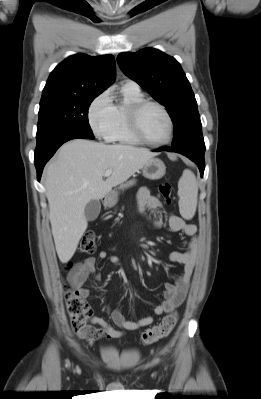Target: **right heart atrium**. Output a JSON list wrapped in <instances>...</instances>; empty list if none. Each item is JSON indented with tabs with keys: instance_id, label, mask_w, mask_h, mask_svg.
<instances>
[{
	"instance_id": "d8ad5b80",
	"label": "right heart atrium",
	"mask_w": 261,
	"mask_h": 399,
	"mask_svg": "<svg viewBox=\"0 0 261 399\" xmlns=\"http://www.w3.org/2000/svg\"><path fill=\"white\" fill-rule=\"evenodd\" d=\"M88 122L96 137L110 140L114 125V104L108 91L100 93L91 102Z\"/></svg>"
}]
</instances>
